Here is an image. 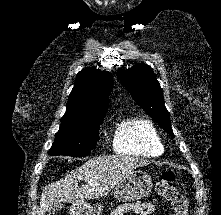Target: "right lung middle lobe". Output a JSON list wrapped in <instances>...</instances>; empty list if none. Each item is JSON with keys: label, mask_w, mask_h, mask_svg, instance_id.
Returning <instances> with one entry per match:
<instances>
[{"label": "right lung middle lobe", "mask_w": 221, "mask_h": 215, "mask_svg": "<svg viewBox=\"0 0 221 215\" xmlns=\"http://www.w3.org/2000/svg\"><path fill=\"white\" fill-rule=\"evenodd\" d=\"M104 117L65 114L49 155L83 157L95 148Z\"/></svg>", "instance_id": "1"}]
</instances>
